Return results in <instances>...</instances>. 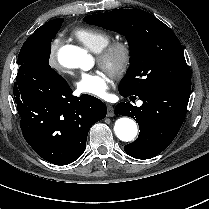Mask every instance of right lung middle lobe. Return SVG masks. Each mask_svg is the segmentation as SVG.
Here are the masks:
<instances>
[{"label":"right lung middle lobe","mask_w":209,"mask_h":209,"mask_svg":"<svg viewBox=\"0 0 209 209\" xmlns=\"http://www.w3.org/2000/svg\"><path fill=\"white\" fill-rule=\"evenodd\" d=\"M62 22L63 18L51 20L42 28L35 30L24 42L17 60L18 65H20L19 70L30 67L45 72L54 71L49 65L50 46Z\"/></svg>","instance_id":"dd1d6c3e"}]
</instances>
